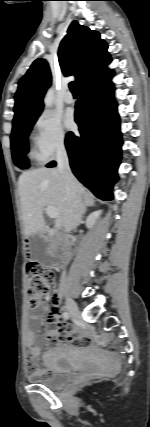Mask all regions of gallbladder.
<instances>
[{"instance_id":"obj_1","label":"gallbladder","mask_w":150,"mask_h":427,"mask_svg":"<svg viewBox=\"0 0 150 427\" xmlns=\"http://www.w3.org/2000/svg\"><path fill=\"white\" fill-rule=\"evenodd\" d=\"M32 259L41 265L50 266L54 263V256L48 251L49 242L41 234H35L30 239Z\"/></svg>"}]
</instances>
